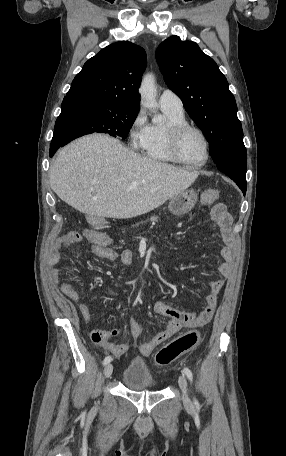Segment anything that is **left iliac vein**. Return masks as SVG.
<instances>
[{"mask_svg": "<svg viewBox=\"0 0 286 456\" xmlns=\"http://www.w3.org/2000/svg\"><path fill=\"white\" fill-rule=\"evenodd\" d=\"M178 383H179L180 389L183 394L184 405L186 408L191 409L193 407V404L187 394V380H186L185 376H183V375L180 376L178 379Z\"/></svg>", "mask_w": 286, "mask_h": 456, "instance_id": "4c4485c4", "label": "left iliac vein"}]
</instances>
